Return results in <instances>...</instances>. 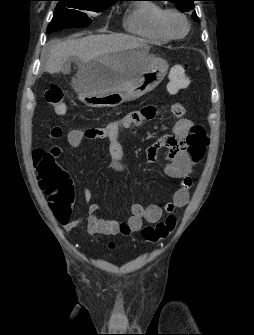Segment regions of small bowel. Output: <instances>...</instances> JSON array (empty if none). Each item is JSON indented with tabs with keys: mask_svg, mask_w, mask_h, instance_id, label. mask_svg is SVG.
Instances as JSON below:
<instances>
[{
	"mask_svg": "<svg viewBox=\"0 0 254 335\" xmlns=\"http://www.w3.org/2000/svg\"><path fill=\"white\" fill-rule=\"evenodd\" d=\"M156 111L153 106H145L140 110L132 111L124 117L110 122L103 128L74 129L67 135V141L70 147L78 148L85 140H106L108 142L109 154L111 156L110 168L113 171L121 172L124 170V149L119 141L118 135L122 128L139 126L143 121L154 117ZM169 115H175L178 121L173 127L172 134L151 144L146 149L148 162H154L157 159L161 149H167V164L165 173L172 178L180 180V186L174 193L171 202L163 208L158 205L150 204L144 206L140 203L131 205V216L125 222L116 220H107L100 218L95 213L99 206L91 202L92 194L89 190L84 192V200L87 203V228L92 234H104L109 236L123 235L127 236L138 232L143 222L157 223L163 212H171L176 207H183L189 201V190L192 185L190 178L192 164L186 150V139L192 122L185 117V109L182 104L173 102L168 109ZM63 135V130L59 126L52 127L49 137L53 140H59ZM50 203V198L48 197ZM65 218L58 220L65 231H71L81 221L80 217L73 218L71 209L64 208Z\"/></svg>",
	"mask_w": 254,
	"mask_h": 335,
	"instance_id": "small-bowel-1",
	"label": "small bowel"
}]
</instances>
